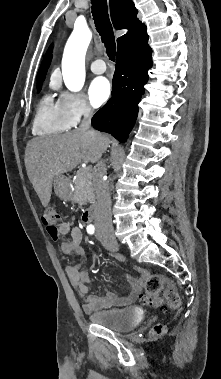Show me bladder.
Here are the masks:
<instances>
[{"label":"bladder","mask_w":221,"mask_h":379,"mask_svg":"<svg viewBox=\"0 0 221 379\" xmlns=\"http://www.w3.org/2000/svg\"><path fill=\"white\" fill-rule=\"evenodd\" d=\"M143 315L136 308H113L91 312L90 322L111 329L115 332H127L135 328Z\"/></svg>","instance_id":"31cf9c89"}]
</instances>
